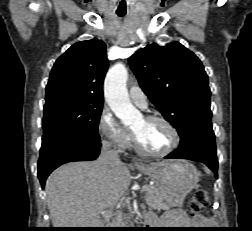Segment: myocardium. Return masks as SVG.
Listing matches in <instances>:
<instances>
[{"label":"myocardium","instance_id":"myocardium-1","mask_svg":"<svg viewBox=\"0 0 252 231\" xmlns=\"http://www.w3.org/2000/svg\"><path fill=\"white\" fill-rule=\"evenodd\" d=\"M144 120H146V121H159V122H162L163 124H165L172 134V143L164 151H161V152L150 151V150L145 149L141 145V143L139 142V140L136 137V135L134 134V132H132L131 133L132 143H133L135 150L138 153H140L144 156H150V157H164V156L171 154L174 150H176V148L180 144V135H179L177 128L173 125L172 122H170L167 118L160 116V115H147L144 117Z\"/></svg>","mask_w":252,"mask_h":231}]
</instances>
